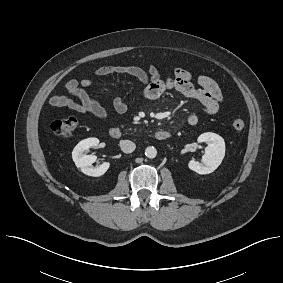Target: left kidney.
Masks as SVG:
<instances>
[{
    "instance_id": "left-kidney-1",
    "label": "left kidney",
    "mask_w": 283,
    "mask_h": 283,
    "mask_svg": "<svg viewBox=\"0 0 283 283\" xmlns=\"http://www.w3.org/2000/svg\"><path fill=\"white\" fill-rule=\"evenodd\" d=\"M197 141L198 143L205 142L208 146L205 148L202 163L192 159L188 163L189 169L198 174H209L214 172L219 167L225 156L224 139L218 134L206 132L201 134Z\"/></svg>"
}]
</instances>
